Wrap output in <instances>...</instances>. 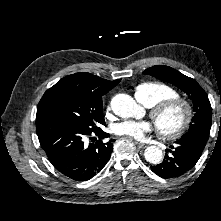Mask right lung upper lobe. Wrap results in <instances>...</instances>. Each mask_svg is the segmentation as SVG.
<instances>
[{
    "mask_svg": "<svg viewBox=\"0 0 221 221\" xmlns=\"http://www.w3.org/2000/svg\"><path fill=\"white\" fill-rule=\"evenodd\" d=\"M119 82V79L109 81L87 72L75 73L62 78L48 89L42 98L61 91H77L102 98L104 94L114 88Z\"/></svg>",
    "mask_w": 221,
    "mask_h": 221,
    "instance_id": "cb5924a9",
    "label": "right lung upper lobe"
}]
</instances>
